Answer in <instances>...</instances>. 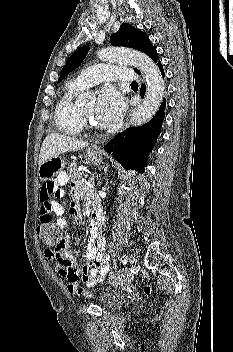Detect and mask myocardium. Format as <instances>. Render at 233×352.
<instances>
[{
	"mask_svg": "<svg viewBox=\"0 0 233 352\" xmlns=\"http://www.w3.org/2000/svg\"><path fill=\"white\" fill-rule=\"evenodd\" d=\"M80 114H81V119L83 122V127L88 129V130H95L97 129V125L95 124V122H93L89 116L85 113V111L83 110V108H80Z\"/></svg>",
	"mask_w": 233,
	"mask_h": 352,
	"instance_id": "1",
	"label": "myocardium"
}]
</instances>
